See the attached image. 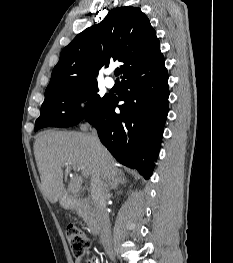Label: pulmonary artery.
<instances>
[{"instance_id":"e3ab8cb5","label":"pulmonary artery","mask_w":233,"mask_h":263,"mask_svg":"<svg viewBox=\"0 0 233 263\" xmlns=\"http://www.w3.org/2000/svg\"><path fill=\"white\" fill-rule=\"evenodd\" d=\"M105 85L108 87V88H112L114 86V80L108 76L106 77L105 79Z\"/></svg>"}]
</instances>
